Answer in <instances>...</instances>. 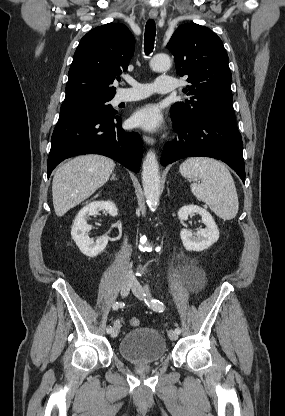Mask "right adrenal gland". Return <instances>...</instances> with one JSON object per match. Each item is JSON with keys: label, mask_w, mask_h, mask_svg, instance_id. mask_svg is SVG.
Here are the masks:
<instances>
[{"label": "right adrenal gland", "mask_w": 285, "mask_h": 416, "mask_svg": "<svg viewBox=\"0 0 285 416\" xmlns=\"http://www.w3.org/2000/svg\"><path fill=\"white\" fill-rule=\"evenodd\" d=\"M116 174H113L111 180H117V178H115Z\"/></svg>", "instance_id": "obj_1"}]
</instances>
